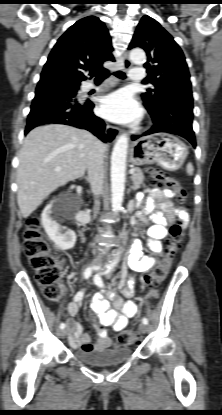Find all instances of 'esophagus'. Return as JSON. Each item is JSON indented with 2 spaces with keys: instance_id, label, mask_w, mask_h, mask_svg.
Listing matches in <instances>:
<instances>
[{
  "instance_id": "1",
  "label": "esophagus",
  "mask_w": 222,
  "mask_h": 415,
  "mask_svg": "<svg viewBox=\"0 0 222 415\" xmlns=\"http://www.w3.org/2000/svg\"><path fill=\"white\" fill-rule=\"evenodd\" d=\"M123 66L122 69H128L131 67V61L126 57H123ZM120 129L111 125H107L106 127V138L108 142L113 143L119 136Z\"/></svg>"
}]
</instances>
